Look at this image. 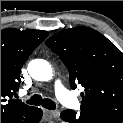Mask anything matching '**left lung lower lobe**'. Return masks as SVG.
I'll use <instances>...</instances> for the list:
<instances>
[{"label":"left lung lower lobe","mask_w":123,"mask_h":123,"mask_svg":"<svg viewBox=\"0 0 123 123\" xmlns=\"http://www.w3.org/2000/svg\"><path fill=\"white\" fill-rule=\"evenodd\" d=\"M60 117L70 123H122L123 121V118L96 109H81L80 115L72 110H65Z\"/></svg>","instance_id":"left-lung-lower-lobe-1"}]
</instances>
